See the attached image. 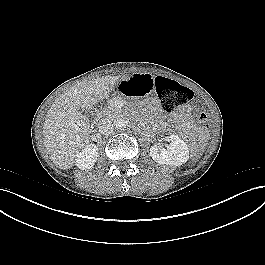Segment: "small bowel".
Masks as SVG:
<instances>
[{
    "mask_svg": "<svg viewBox=\"0 0 265 265\" xmlns=\"http://www.w3.org/2000/svg\"><path fill=\"white\" fill-rule=\"evenodd\" d=\"M191 110V106H185L178 111L177 115L189 118Z\"/></svg>",
    "mask_w": 265,
    "mask_h": 265,
    "instance_id": "c3829d8e",
    "label": "small bowel"
}]
</instances>
